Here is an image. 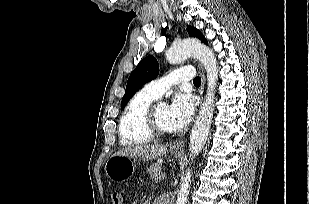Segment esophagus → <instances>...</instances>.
Here are the masks:
<instances>
[{
    "label": "esophagus",
    "mask_w": 309,
    "mask_h": 204,
    "mask_svg": "<svg viewBox=\"0 0 309 204\" xmlns=\"http://www.w3.org/2000/svg\"><path fill=\"white\" fill-rule=\"evenodd\" d=\"M198 68H199V72L201 74V80H202L201 87L199 89V94L201 97H203L204 87H205V73L200 64H198ZM183 145H184V139H181L179 141L174 142L171 147L176 150H181L183 148Z\"/></svg>",
    "instance_id": "obj_1"
}]
</instances>
